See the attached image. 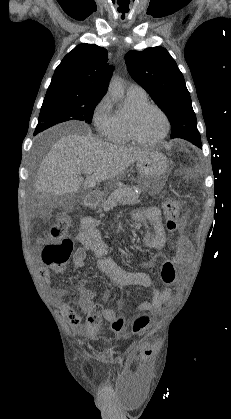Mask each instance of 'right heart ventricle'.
I'll return each mask as SVG.
<instances>
[{
    "instance_id": "obj_1",
    "label": "right heart ventricle",
    "mask_w": 231,
    "mask_h": 419,
    "mask_svg": "<svg viewBox=\"0 0 231 419\" xmlns=\"http://www.w3.org/2000/svg\"><path fill=\"white\" fill-rule=\"evenodd\" d=\"M148 103L147 95H140L135 93H127V110H120L116 113L117 116V132L113 141L118 144H125L133 142V138L129 131V116L133 109Z\"/></svg>"
}]
</instances>
